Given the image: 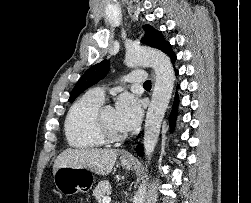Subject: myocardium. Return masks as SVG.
<instances>
[{"mask_svg": "<svg viewBox=\"0 0 251 203\" xmlns=\"http://www.w3.org/2000/svg\"><path fill=\"white\" fill-rule=\"evenodd\" d=\"M103 110L104 108L100 107L96 115V127L101 137L105 142L110 143L124 140L126 138L125 134L116 133L108 127L103 117Z\"/></svg>", "mask_w": 251, "mask_h": 203, "instance_id": "obj_1", "label": "myocardium"}]
</instances>
